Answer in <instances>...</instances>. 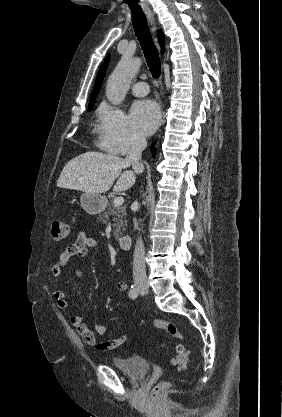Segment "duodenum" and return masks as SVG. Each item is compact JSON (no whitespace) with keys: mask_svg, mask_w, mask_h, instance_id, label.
I'll return each instance as SVG.
<instances>
[{"mask_svg":"<svg viewBox=\"0 0 282 417\" xmlns=\"http://www.w3.org/2000/svg\"><path fill=\"white\" fill-rule=\"evenodd\" d=\"M130 241H131L130 235H123L118 238L119 246L124 250L129 248Z\"/></svg>","mask_w":282,"mask_h":417,"instance_id":"duodenum-1","label":"duodenum"}]
</instances>
